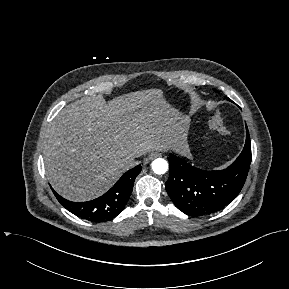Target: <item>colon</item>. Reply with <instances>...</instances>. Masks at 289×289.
Wrapping results in <instances>:
<instances>
[{
	"label": "colon",
	"mask_w": 289,
	"mask_h": 289,
	"mask_svg": "<svg viewBox=\"0 0 289 289\" xmlns=\"http://www.w3.org/2000/svg\"><path fill=\"white\" fill-rule=\"evenodd\" d=\"M209 125L210 128L219 135L227 136L229 134L228 128L226 127L221 116L218 114H215L210 118Z\"/></svg>",
	"instance_id": "colon-1"
}]
</instances>
